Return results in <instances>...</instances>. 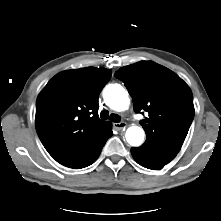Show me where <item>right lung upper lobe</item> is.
Wrapping results in <instances>:
<instances>
[{"label": "right lung upper lobe", "mask_w": 221, "mask_h": 221, "mask_svg": "<svg viewBox=\"0 0 221 221\" xmlns=\"http://www.w3.org/2000/svg\"><path fill=\"white\" fill-rule=\"evenodd\" d=\"M111 74V70L95 67L63 71L40 92L36 101V131L57 162L75 155L110 125L99 119L98 97Z\"/></svg>", "instance_id": "obj_1"}]
</instances>
